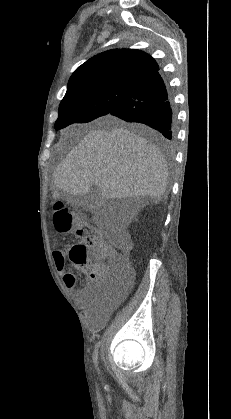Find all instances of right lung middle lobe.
<instances>
[{
	"label": "right lung middle lobe",
	"mask_w": 231,
	"mask_h": 419,
	"mask_svg": "<svg viewBox=\"0 0 231 419\" xmlns=\"http://www.w3.org/2000/svg\"><path fill=\"white\" fill-rule=\"evenodd\" d=\"M133 86L104 85L78 89L63 98L55 129L86 123L109 114L131 92Z\"/></svg>",
	"instance_id": "1"
}]
</instances>
